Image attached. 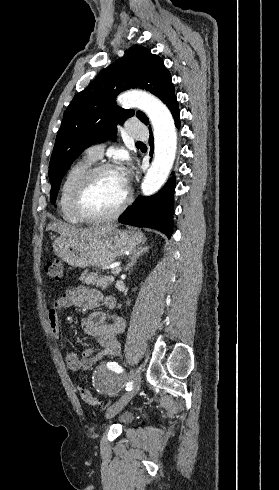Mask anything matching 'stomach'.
<instances>
[{"mask_svg": "<svg viewBox=\"0 0 279 490\" xmlns=\"http://www.w3.org/2000/svg\"><path fill=\"white\" fill-rule=\"evenodd\" d=\"M144 242V234L136 228H113L103 236H95L88 242L68 240L59 236L54 240L52 248L55 256L73 268H106L121 256H130L131 252Z\"/></svg>", "mask_w": 279, "mask_h": 490, "instance_id": "1", "label": "stomach"}]
</instances>
